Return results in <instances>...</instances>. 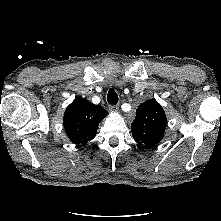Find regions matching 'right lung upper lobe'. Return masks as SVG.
<instances>
[{
    "label": "right lung upper lobe",
    "instance_id": "obj_1",
    "mask_svg": "<svg viewBox=\"0 0 221 221\" xmlns=\"http://www.w3.org/2000/svg\"><path fill=\"white\" fill-rule=\"evenodd\" d=\"M108 112L82 97H76L66 108L63 124L68 138L74 144L87 143L96 136L99 123Z\"/></svg>",
    "mask_w": 221,
    "mask_h": 221
}]
</instances>
